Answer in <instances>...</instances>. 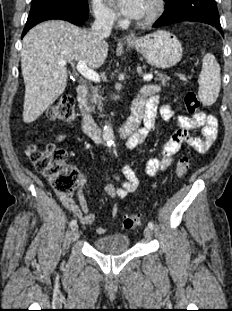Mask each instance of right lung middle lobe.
Masks as SVG:
<instances>
[{
    "mask_svg": "<svg viewBox=\"0 0 232 311\" xmlns=\"http://www.w3.org/2000/svg\"><path fill=\"white\" fill-rule=\"evenodd\" d=\"M47 4L72 6L81 11H89L87 0H32L31 8Z\"/></svg>",
    "mask_w": 232,
    "mask_h": 311,
    "instance_id": "obj_1",
    "label": "right lung middle lobe"
}]
</instances>
